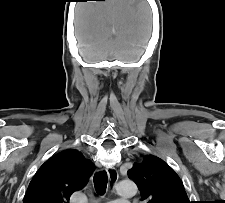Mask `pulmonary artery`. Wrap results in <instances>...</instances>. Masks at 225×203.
<instances>
[{"label": "pulmonary artery", "instance_id": "obj_1", "mask_svg": "<svg viewBox=\"0 0 225 203\" xmlns=\"http://www.w3.org/2000/svg\"><path fill=\"white\" fill-rule=\"evenodd\" d=\"M108 203H129L128 201H111V202H108Z\"/></svg>", "mask_w": 225, "mask_h": 203}]
</instances>
